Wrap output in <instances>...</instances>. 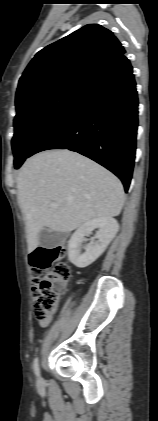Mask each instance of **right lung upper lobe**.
I'll return each instance as SVG.
<instances>
[{"label":"right lung upper lobe","instance_id":"right-lung-upper-lobe-1","mask_svg":"<svg viewBox=\"0 0 158 421\" xmlns=\"http://www.w3.org/2000/svg\"><path fill=\"white\" fill-rule=\"evenodd\" d=\"M125 54L111 31L88 24L39 51L21 76L16 102L61 85H85L95 74Z\"/></svg>","mask_w":158,"mask_h":421}]
</instances>
